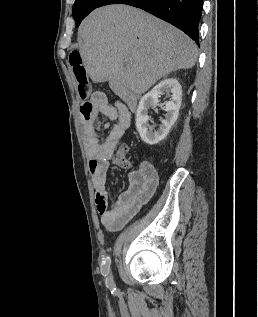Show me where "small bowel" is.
Segmentation results:
<instances>
[{"instance_id": "small-bowel-1", "label": "small bowel", "mask_w": 258, "mask_h": 317, "mask_svg": "<svg viewBox=\"0 0 258 317\" xmlns=\"http://www.w3.org/2000/svg\"><path fill=\"white\" fill-rule=\"evenodd\" d=\"M99 116L116 121V124L102 142L98 140L95 130L90 136L84 132V146L101 224L110 231H118L150 200L156 191L159 178L155 167L148 161H142L136 170L129 173L128 188L115 202H109L106 178L110 160L116 145L131 125V112L123 103L111 105L104 93L95 92L89 101L80 104L79 118L83 126L86 118L92 122Z\"/></svg>"}]
</instances>
